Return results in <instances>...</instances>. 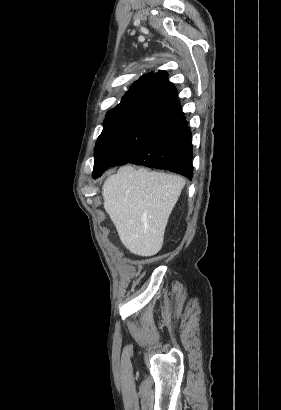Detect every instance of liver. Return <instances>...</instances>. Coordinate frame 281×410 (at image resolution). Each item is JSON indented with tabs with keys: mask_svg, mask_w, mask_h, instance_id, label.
Returning a JSON list of instances; mask_svg holds the SVG:
<instances>
[{
	"mask_svg": "<svg viewBox=\"0 0 281 410\" xmlns=\"http://www.w3.org/2000/svg\"><path fill=\"white\" fill-rule=\"evenodd\" d=\"M185 185L182 177L131 165L121 167L103 184L104 209L122 244L139 256L157 254L169 216Z\"/></svg>",
	"mask_w": 281,
	"mask_h": 410,
	"instance_id": "1",
	"label": "liver"
}]
</instances>
